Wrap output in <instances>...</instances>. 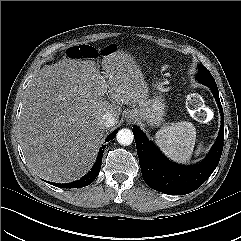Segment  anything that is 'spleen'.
<instances>
[{
	"instance_id": "1",
	"label": "spleen",
	"mask_w": 241,
	"mask_h": 241,
	"mask_svg": "<svg viewBox=\"0 0 241 241\" xmlns=\"http://www.w3.org/2000/svg\"><path fill=\"white\" fill-rule=\"evenodd\" d=\"M156 144L163 154L174 162L186 164L190 161L195 140L196 129L190 122L181 121L164 125L155 135ZM201 145L195 154L199 155Z\"/></svg>"
}]
</instances>
